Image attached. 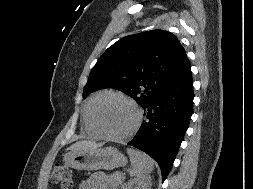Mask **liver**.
Masks as SVG:
<instances>
[{
  "mask_svg": "<svg viewBox=\"0 0 253 189\" xmlns=\"http://www.w3.org/2000/svg\"><path fill=\"white\" fill-rule=\"evenodd\" d=\"M101 144H97L96 142L89 141V140H82L78 141L74 144H72L68 149L70 152H76L80 150H86V149H96L101 147Z\"/></svg>",
  "mask_w": 253,
  "mask_h": 189,
  "instance_id": "obj_1",
  "label": "liver"
}]
</instances>
